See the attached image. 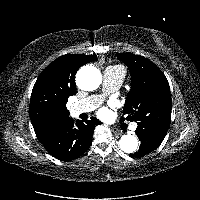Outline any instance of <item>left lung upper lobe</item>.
<instances>
[{
  "label": "left lung upper lobe",
  "mask_w": 200,
  "mask_h": 200,
  "mask_svg": "<svg viewBox=\"0 0 200 200\" xmlns=\"http://www.w3.org/2000/svg\"><path fill=\"white\" fill-rule=\"evenodd\" d=\"M131 74V90L123 108L127 120L168 131L172 99L167 78L149 59L132 53H116ZM122 121L124 118L122 117Z\"/></svg>",
  "instance_id": "5c2ea615"
}]
</instances>
